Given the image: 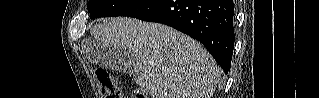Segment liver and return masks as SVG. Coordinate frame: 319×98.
I'll list each match as a JSON object with an SVG mask.
<instances>
[{"label": "liver", "mask_w": 319, "mask_h": 98, "mask_svg": "<svg viewBox=\"0 0 319 98\" xmlns=\"http://www.w3.org/2000/svg\"><path fill=\"white\" fill-rule=\"evenodd\" d=\"M90 34L97 43L137 58L133 80L152 98H211L216 90L220 68L213 57L171 27L116 17L94 25Z\"/></svg>", "instance_id": "6515ba94"}]
</instances>
